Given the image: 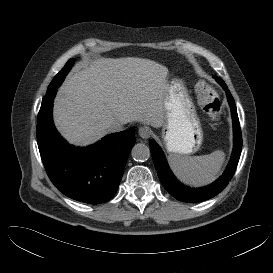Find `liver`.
<instances>
[{
  "label": "liver",
  "instance_id": "1",
  "mask_svg": "<svg viewBox=\"0 0 273 273\" xmlns=\"http://www.w3.org/2000/svg\"><path fill=\"white\" fill-rule=\"evenodd\" d=\"M167 67L143 58H99L63 83L54 103V123L71 144L95 143L115 122L164 125Z\"/></svg>",
  "mask_w": 273,
  "mask_h": 273
}]
</instances>
